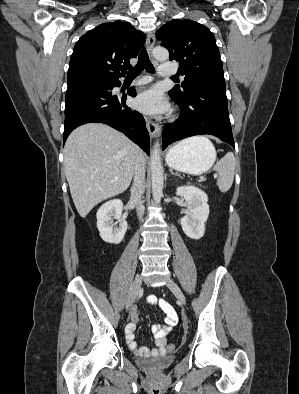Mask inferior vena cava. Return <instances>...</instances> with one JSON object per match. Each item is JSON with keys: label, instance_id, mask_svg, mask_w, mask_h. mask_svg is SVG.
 I'll return each instance as SVG.
<instances>
[{"label": "inferior vena cava", "instance_id": "602c4592", "mask_svg": "<svg viewBox=\"0 0 299 394\" xmlns=\"http://www.w3.org/2000/svg\"><path fill=\"white\" fill-rule=\"evenodd\" d=\"M144 180H145V160L139 157L134 168V182L131 188V199L136 203V211L139 219L144 214V206L142 198L144 194Z\"/></svg>", "mask_w": 299, "mask_h": 394}]
</instances>
